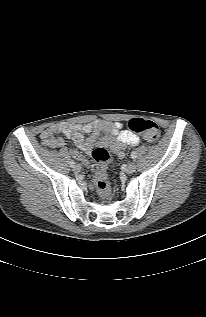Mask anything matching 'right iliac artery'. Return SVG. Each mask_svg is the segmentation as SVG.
<instances>
[{
  "label": "right iliac artery",
  "instance_id": "1",
  "mask_svg": "<svg viewBox=\"0 0 206 317\" xmlns=\"http://www.w3.org/2000/svg\"><path fill=\"white\" fill-rule=\"evenodd\" d=\"M70 166L74 168L75 167V162L74 161H70Z\"/></svg>",
  "mask_w": 206,
  "mask_h": 317
}]
</instances>
